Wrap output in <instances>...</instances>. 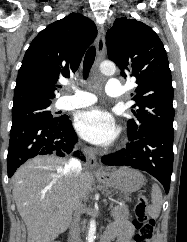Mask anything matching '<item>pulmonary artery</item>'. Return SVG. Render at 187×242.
<instances>
[{"label":"pulmonary artery","mask_w":187,"mask_h":242,"mask_svg":"<svg viewBox=\"0 0 187 242\" xmlns=\"http://www.w3.org/2000/svg\"><path fill=\"white\" fill-rule=\"evenodd\" d=\"M75 91L74 95L64 96L59 102V107L62 109H74L88 106L95 102V97L85 91L77 88H73ZM105 92L110 97H119L123 93V85L117 79H109Z\"/></svg>","instance_id":"1"}]
</instances>
